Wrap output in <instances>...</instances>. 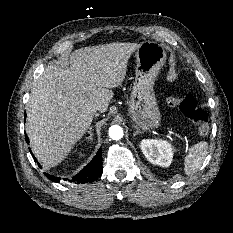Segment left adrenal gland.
Returning a JSON list of instances; mask_svg holds the SVG:
<instances>
[{"mask_svg": "<svg viewBox=\"0 0 233 233\" xmlns=\"http://www.w3.org/2000/svg\"><path fill=\"white\" fill-rule=\"evenodd\" d=\"M139 133H141V131L139 130V128L138 127H136V131L134 132V136H136L137 134H139Z\"/></svg>", "mask_w": 233, "mask_h": 233, "instance_id": "left-adrenal-gland-1", "label": "left adrenal gland"}]
</instances>
